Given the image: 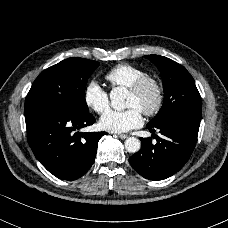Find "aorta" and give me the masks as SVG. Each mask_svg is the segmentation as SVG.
Listing matches in <instances>:
<instances>
[{
	"label": "aorta",
	"mask_w": 228,
	"mask_h": 228,
	"mask_svg": "<svg viewBox=\"0 0 228 228\" xmlns=\"http://www.w3.org/2000/svg\"><path fill=\"white\" fill-rule=\"evenodd\" d=\"M129 91L125 87H114L110 91V106L116 111L126 109L125 99L128 97ZM125 149L129 153H136L140 150L141 142L135 137H129L125 141Z\"/></svg>",
	"instance_id": "1"
}]
</instances>
